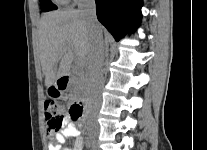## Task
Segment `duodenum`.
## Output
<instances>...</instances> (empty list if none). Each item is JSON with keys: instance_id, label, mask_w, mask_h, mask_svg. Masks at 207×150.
I'll return each instance as SVG.
<instances>
[{"instance_id": "1", "label": "duodenum", "mask_w": 207, "mask_h": 150, "mask_svg": "<svg viewBox=\"0 0 207 150\" xmlns=\"http://www.w3.org/2000/svg\"><path fill=\"white\" fill-rule=\"evenodd\" d=\"M69 80H70V75L66 74V75H63L60 79H59V84L60 86L62 87H66L69 83ZM74 107L76 108V110L80 113L81 117H86L87 114H88V110L87 108L85 107L84 104L82 103H77L74 105Z\"/></svg>"}]
</instances>
